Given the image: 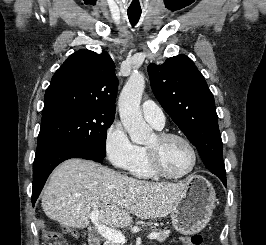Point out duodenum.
<instances>
[{"instance_id":"1","label":"duodenum","mask_w":266,"mask_h":245,"mask_svg":"<svg viewBox=\"0 0 266 245\" xmlns=\"http://www.w3.org/2000/svg\"><path fill=\"white\" fill-rule=\"evenodd\" d=\"M89 245H101L99 237L97 234H91L89 238Z\"/></svg>"}]
</instances>
